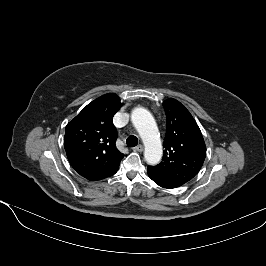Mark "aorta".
Wrapping results in <instances>:
<instances>
[{"mask_svg":"<svg viewBox=\"0 0 266 266\" xmlns=\"http://www.w3.org/2000/svg\"><path fill=\"white\" fill-rule=\"evenodd\" d=\"M131 120L144 143L146 162L150 165L157 164L162 157V145L153 116L144 108H135Z\"/></svg>","mask_w":266,"mask_h":266,"instance_id":"obj_1","label":"aorta"}]
</instances>
